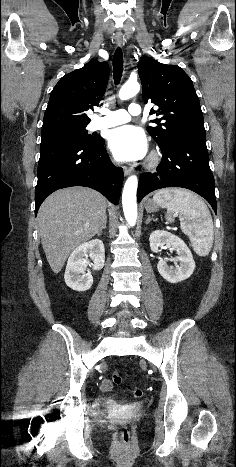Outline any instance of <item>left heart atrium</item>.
<instances>
[{
  "label": "left heart atrium",
  "mask_w": 236,
  "mask_h": 467,
  "mask_svg": "<svg viewBox=\"0 0 236 467\" xmlns=\"http://www.w3.org/2000/svg\"><path fill=\"white\" fill-rule=\"evenodd\" d=\"M108 144L113 155L121 161L138 160L147 153V142L143 132L132 125L113 129L109 133Z\"/></svg>",
  "instance_id": "39dd6f15"
}]
</instances>
